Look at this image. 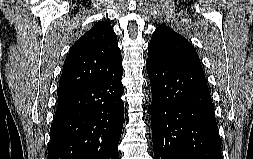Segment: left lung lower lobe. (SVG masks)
Returning a JSON list of instances; mask_svg holds the SVG:
<instances>
[{"instance_id": "0a47b994", "label": "left lung lower lobe", "mask_w": 253, "mask_h": 159, "mask_svg": "<svg viewBox=\"0 0 253 159\" xmlns=\"http://www.w3.org/2000/svg\"><path fill=\"white\" fill-rule=\"evenodd\" d=\"M155 159H223L202 68L146 60Z\"/></svg>"}]
</instances>
